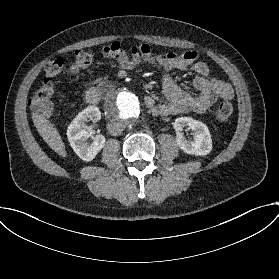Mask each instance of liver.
<instances>
[{
	"label": "liver",
	"instance_id": "liver-1",
	"mask_svg": "<svg viewBox=\"0 0 279 279\" xmlns=\"http://www.w3.org/2000/svg\"><path fill=\"white\" fill-rule=\"evenodd\" d=\"M41 110H32L33 123L43 140L49 147L62 158L68 153L58 128L44 115L39 114Z\"/></svg>",
	"mask_w": 279,
	"mask_h": 279
}]
</instances>
